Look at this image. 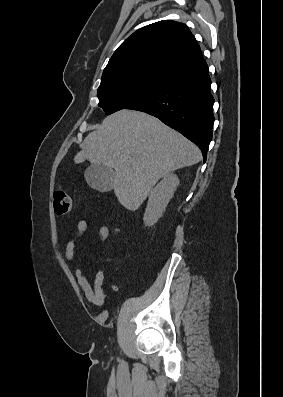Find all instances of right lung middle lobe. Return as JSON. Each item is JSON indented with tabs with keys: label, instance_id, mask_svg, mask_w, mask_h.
<instances>
[{
	"label": "right lung middle lobe",
	"instance_id": "1",
	"mask_svg": "<svg viewBox=\"0 0 283 397\" xmlns=\"http://www.w3.org/2000/svg\"><path fill=\"white\" fill-rule=\"evenodd\" d=\"M167 82L147 74L117 75L101 79L97 93L98 105L110 115L125 109Z\"/></svg>",
	"mask_w": 283,
	"mask_h": 397
}]
</instances>
